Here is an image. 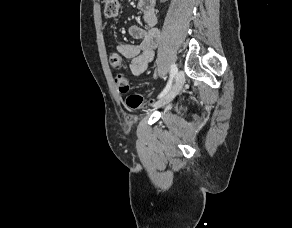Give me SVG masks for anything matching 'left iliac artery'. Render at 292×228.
Wrapping results in <instances>:
<instances>
[{
    "instance_id": "obj_1",
    "label": "left iliac artery",
    "mask_w": 292,
    "mask_h": 228,
    "mask_svg": "<svg viewBox=\"0 0 292 228\" xmlns=\"http://www.w3.org/2000/svg\"><path fill=\"white\" fill-rule=\"evenodd\" d=\"M177 71H178L177 65L175 63H173L171 65L170 78L168 80V83H167L166 87L163 89V91L158 95V98L164 97L169 92V90L171 89L173 78L177 74Z\"/></svg>"
}]
</instances>
